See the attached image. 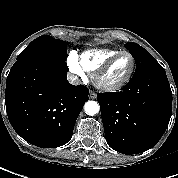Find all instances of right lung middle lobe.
<instances>
[{
    "label": "right lung middle lobe",
    "instance_id": "dd1d6c3e",
    "mask_svg": "<svg viewBox=\"0 0 178 178\" xmlns=\"http://www.w3.org/2000/svg\"><path fill=\"white\" fill-rule=\"evenodd\" d=\"M67 58L66 42L49 35H42L33 40L17 57L20 61H62Z\"/></svg>",
    "mask_w": 178,
    "mask_h": 178
}]
</instances>
